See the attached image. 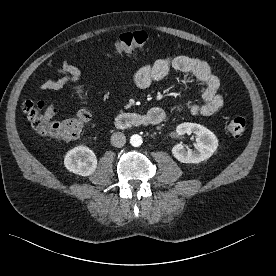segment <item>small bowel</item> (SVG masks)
<instances>
[{"instance_id": "small-bowel-1", "label": "small bowel", "mask_w": 276, "mask_h": 276, "mask_svg": "<svg viewBox=\"0 0 276 276\" xmlns=\"http://www.w3.org/2000/svg\"><path fill=\"white\" fill-rule=\"evenodd\" d=\"M192 74L203 84L201 104L195 103L190 107V112L196 116H210L218 112L223 106V99L219 94V79L212 72L205 61L192 58L187 55H172L158 58L154 63L141 67L133 75V81L140 89H146L152 83L165 78L170 71ZM60 77L54 80L44 81L40 89L57 91L71 83L76 85L80 78V70L70 62H63L59 69ZM158 111L163 110L153 107L147 111L150 116H156Z\"/></svg>"}]
</instances>
